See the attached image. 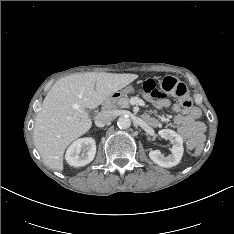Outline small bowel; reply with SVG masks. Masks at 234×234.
<instances>
[{
	"label": "small bowel",
	"mask_w": 234,
	"mask_h": 234,
	"mask_svg": "<svg viewBox=\"0 0 234 234\" xmlns=\"http://www.w3.org/2000/svg\"><path fill=\"white\" fill-rule=\"evenodd\" d=\"M144 96L157 109L172 108L176 115L171 123L178 129L180 135L186 139L189 148L203 140L206 127L199 120L201 112L197 107L184 108L179 104H172L164 97H151L147 94H144ZM145 120L153 127L159 126V120L156 117L145 115Z\"/></svg>",
	"instance_id": "c3829d8e"
}]
</instances>
